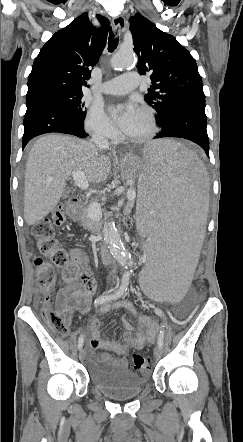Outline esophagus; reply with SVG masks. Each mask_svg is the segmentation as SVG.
<instances>
[{
	"label": "esophagus",
	"mask_w": 243,
	"mask_h": 442,
	"mask_svg": "<svg viewBox=\"0 0 243 442\" xmlns=\"http://www.w3.org/2000/svg\"><path fill=\"white\" fill-rule=\"evenodd\" d=\"M125 18L122 15L116 16L112 20V27L115 31L122 33L125 28Z\"/></svg>",
	"instance_id": "1"
}]
</instances>
